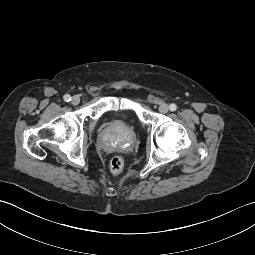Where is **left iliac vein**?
<instances>
[{"mask_svg": "<svg viewBox=\"0 0 255 255\" xmlns=\"http://www.w3.org/2000/svg\"><path fill=\"white\" fill-rule=\"evenodd\" d=\"M168 110H169V107H168V105H167L166 103H161V104L159 105V111H160L161 113L165 114V113L168 112Z\"/></svg>", "mask_w": 255, "mask_h": 255, "instance_id": "left-iliac-vein-1", "label": "left iliac vein"}]
</instances>
